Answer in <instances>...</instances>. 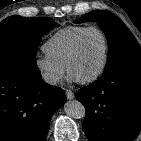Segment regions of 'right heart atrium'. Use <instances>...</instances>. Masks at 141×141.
<instances>
[{
    "label": "right heart atrium",
    "mask_w": 141,
    "mask_h": 141,
    "mask_svg": "<svg viewBox=\"0 0 141 141\" xmlns=\"http://www.w3.org/2000/svg\"><path fill=\"white\" fill-rule=\"evenodd\" d=\"M35 67L42 80L51 86L57 85L65 74V66L55 62L47 55L37 56Z\"/></svg>",
    "instance_id": "right-heart-atrium-1"
}]
</instances>
